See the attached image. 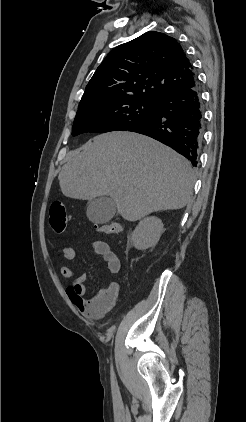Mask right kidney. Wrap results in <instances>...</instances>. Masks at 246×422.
<instances>
[{"mask_svg":"<svg viewBox=\"0 0 246 422\" xmlns=\"http://www.w3.org/2000/svg\"><path fill=\"white\" fill-rule=\"evenodd\" d=\"M163 232L162 221L155 217H147L139 222L131 235V241L138 250H146L155 246Z\"/></svg>","mask_w":246,"mask_h":422,"instance_id":"obj_1","label":"right kidney"}]
</instances>
